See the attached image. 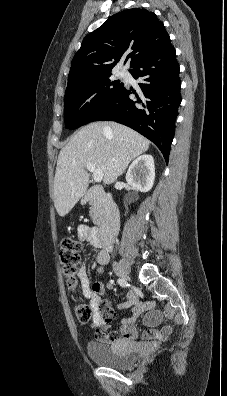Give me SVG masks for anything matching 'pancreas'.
<instances>
[{"label": "pancreas", "instance_id": "1", "mask_svg": "<svg viewBox=\"0 0 227 396\" xmlns=\"http://www.w3.org/2000/svg\"><path fill=\"white\" fill-rule=\"evenodd\" d=\"M90 205H91L90 211H89L90 217L94 224L99 225L102 220L103 210L97 201H91Z\"/></svg>", "mask_w": 227, "mask_h": 396}]
</instances>
